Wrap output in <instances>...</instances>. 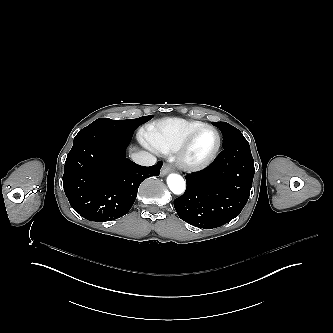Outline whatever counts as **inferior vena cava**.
Instances as JSON below:
<instances>
[{
  "label": "inferior vena cava",
  "mask_w": 333,
  "mask_h": 333,
  "mask_svg": "<svg viewBox=\"0 0 333 333\" xmlns=\"http://www.w3.org/2000/svg\"><path fill=\"white\" fill-rule=\"evenodd\" d=\"M132 160L138 165L150 167L156 164V158L146 151H139L132 154Z\"/></svg>",
  "instance_id": "1"
}]
</instances>
